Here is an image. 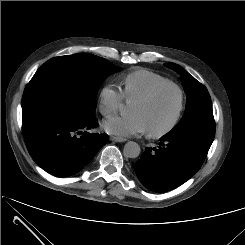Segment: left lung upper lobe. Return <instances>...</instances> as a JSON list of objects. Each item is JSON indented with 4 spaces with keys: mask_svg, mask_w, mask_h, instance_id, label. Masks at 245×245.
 I'll return each instance as SVG.
<instances>
[{
    "mask_svg": "<svg viewBox=\"0 0 245 245\" xmlns=\"http://www.w3.org/2000/svg\"><path fill=\"white\" fill-rule=\"evenodd\" d=\"M166 66L180 74L187 96L185 114L166 136L192 138L210 147L215 137V121L208 90L181 66L175 63H169Z\"/></svg>",
    "mask_w": 245,
    "mask_h": 245,
    "instance_id": "obj_1",
    "label": "left lung upper lobe"
}]
</instances>
